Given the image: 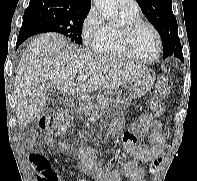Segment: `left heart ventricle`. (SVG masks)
<instances>
[{
  "label": "left heart ventricle",
  "instance_id": "left-heart-ventricle-1",
  "mask_svg": "<svg viewBox=\"0 0 197 181\" xmlns=\"http://www.w3.org/2000/svg\"><path fill=\"white\" fill-rule=\"evenodd\" d=\"M132 44L136 54L143 58H151L157 52V39L147 26H142L135 32Z\"/></svg>",
  "mask_w": 197,
  "mask_h": 181
}]
</instances>
